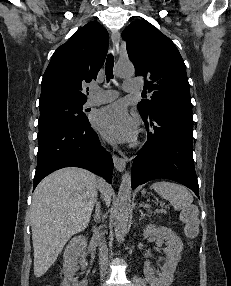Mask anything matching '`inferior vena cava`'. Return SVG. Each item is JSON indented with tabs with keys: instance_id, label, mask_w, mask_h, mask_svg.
Masks as SVG:
<instances>
[{
	"instance_id": "602c4592",
	"label": "inferior vena cava",
	"mask_w": 231,
	"mask_h": 286,
	"mask_svg": "<svg viewBox=\"0 0 231 286\" xmlns=\"http://www.w3.org/2000/svg\"><path fill=\"white\" fill-rule=\"evenodd\" d=\"M99 186H101L104 182L102 178H98ZM95 239L99 241V265H100V275L103 278L105 276L107 270V261H108V249L107 245L104 241L101 240L102 233L99 232L98 229H95Z\"/></svg>"
}]
</instances>
